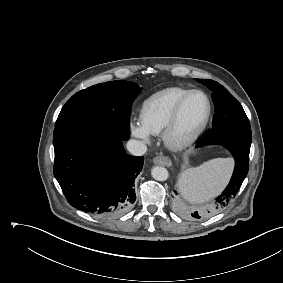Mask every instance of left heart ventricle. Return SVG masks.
Wrapping results in <instances>:
<instances>
[{
    "label": "left heart ventricle",
    "instance_id": "left-heart-ventricle-1",
    "mask_svg": "<svg viewBox=\"0 0 283 283\" xmlns=\"http://www.w3.org/2000/svg\"><path fill=\"white\" fill-rule=\"evenodd\" d=\"M206 112V102L199 94L191 95L184 103L176 125L177 137L191 134L202 122Z\"/></svg>",
    "mask_w": 283,
    "mask_h": 283
}]
</instances>
